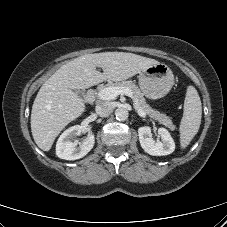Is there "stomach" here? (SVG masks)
Masks as SVG:
<instances>
[{
    "instance_id": "1",
    "label": "stomach",
    "mask_w": 227,
    "mask_h": 227,
    "mask_svg": "<svg viewBox=\"0 0 227 227\" xmlns=\"http://www.w3.org/2000/svg\"><path fill=\"white\" fill-rule=\"evenodd\" d=\"M138 78L141 92L152 100L164 97L174 85L171 69L159 62L140 71Z\"/></svg>"
}]
</instances>
